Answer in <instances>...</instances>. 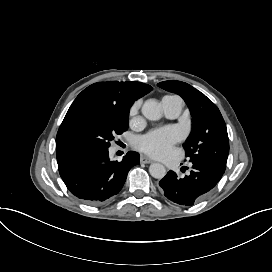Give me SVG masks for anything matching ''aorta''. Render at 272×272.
<instances>
[{"label": "aorta", "instance_id": "762f6f07", "mask_svg": "<svg viewBox=\"0 0 272 272\" xmlns=\"http://www.w3.org/2000/svg\"><path fill=\"white\" fill-rule=\"evenodd\" d=\"M141 113L144 117L153 121L160 119L162 116V112L156 99L146 100L141 107ZM149 173L153 178L162 179L166 175V169L161 163H152L149 166Z\"/></svg>", "mask_w": 272, "mask_h": 272}]
</instances>
